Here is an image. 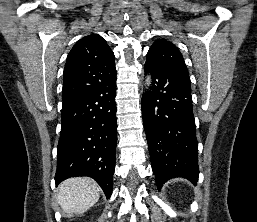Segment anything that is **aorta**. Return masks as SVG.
Returning a JSON list of instances; mask_svg holds the SVG:
<instances>
[{
  "label": "aorta",
  "mask_w": 257,
  "mask_h": 222,
  "mask_svg": "<svg viewBox=\"0 0 257 222\" xmlns=\"http://www.w3.org/2000/svg\"><path fill=\"white\" fill-rule=\"evenodd\" d=\"M150 84H151V79H150V76H148V77L146 78V80H145V86H146V87H149Z\"/></svg>",
  "instance_id": "obj_1"
}]
</instances>
